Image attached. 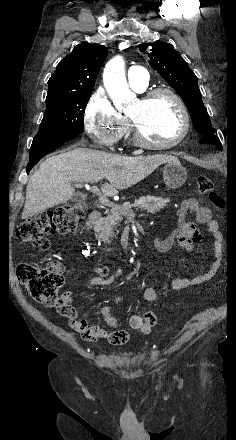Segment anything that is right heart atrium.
<instances>
[{"label":"right heart atrium","mask_w":236,"mask_h":440,"mask_svg":"<svg viewBox=\"0 0 236 440\" xmlns=\"http://www.w3.org/2000/svg\"><path fill=\"white\" fill-rule=\"evenodd\" d=\"M87 134L101 148L113 149L126 129L125 119L117 112L103 88L90 95L83 113Z\"/></svg>","instance_id":"right-heart-atrium-1"}]
</instances>
